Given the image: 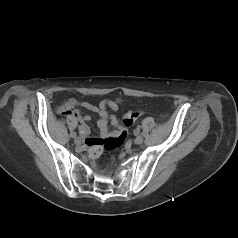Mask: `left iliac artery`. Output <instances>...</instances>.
Returning <instances> with one entry per match:
<instances>
[{"label":"left iliac artery","instance_id":"obj_1","mask_svg":"<svg viewBox=\"0 0 238 238\" xmlns=\"http://www.w3.org/2000/svg\"><path fill=\"white\" fill-rule=\"evenodd\" d=\"M148 133H149V132H148V130H146V129H145V130H143V131H142V133H141V134H142V136H144V137H145V136H147V135H148Z\"/></svg>","mask_w":238,"mask_h":238}]
</instances>
